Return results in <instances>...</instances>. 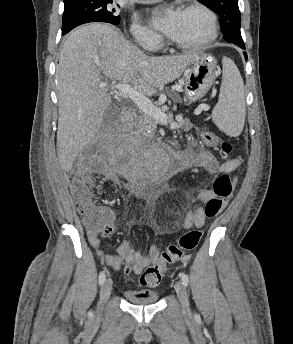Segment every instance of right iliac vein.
Instances as JSON below:
<instances>
[{"label": "right iliac vein", "mask_w": 293, "mask_h": 344, "mask_svg": "<svg viewBox=\"0 0 293 344\" xmlns=\"http://www.w3.org/2000/svg\"><path fill=\"white\" fill-rule=\"evenodd\" d=\"M112 291V280L108 279L104 282L100 291V304L98 307L97 315L100 316L103 310L104 303L109 298Z\"/></svg>", "instance_id": "obj_1"}]
</instances>
